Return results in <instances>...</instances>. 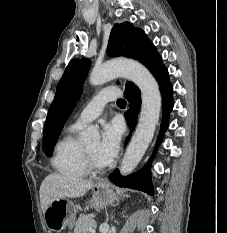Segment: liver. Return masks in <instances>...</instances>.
Listing matches in <instances>:
<instances>
[{"instance_id":"obj_1","label":"liver","mask_w":227,"mask_h":233,"mask_svg":"<svg viewBox=\"0 0 227 233\" xmlns=\"http://www.w3.org/2000/svg\"><path fill=\"white\" fill-rule=\"evenodd\" d=\"M93 186L91 180L49 174L44 178L39 190L43 213L54 200L84 196Z\"/></svg>"}]
</instances>
